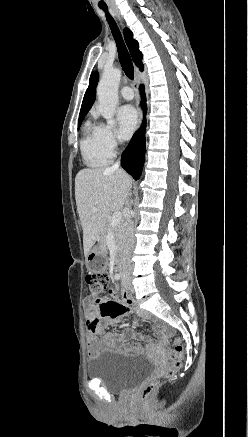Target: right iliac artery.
<instances>
[{"mask_svg": "<svg viewBox=\"0 0 248 437\" xmlns=\"http://www.w3.org/2000/svg\"><path fill=\"white\" fill-rule=\"evenodd\" d=\"M120 277H121L120 274H116V275H115V279H117V280H119Z\"/></svg>", "mask_w": 248, "mask_h": 437, "instance_id": "right-iliac-artery-1", "label": "right iliac artery"}]
</instances>
